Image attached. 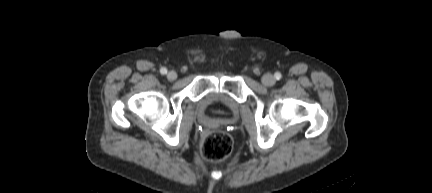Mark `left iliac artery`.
<instances>
[{"label": "left iliac artery", "instance_id": "obj_1", "mask_svg": "<svg viewBox=\"0 0 432 193\" xmlns=\"http://www.w3.org/2000/svg\"><path fill=\"white\" fill-rule=\"evenodd\" d=\"M281 77H282V75H281L280 72H276V73H275V78H276L277 80L281 79Z\"/></svg>", "mask_w": 432, "mask_h": 193}]
</instances>
